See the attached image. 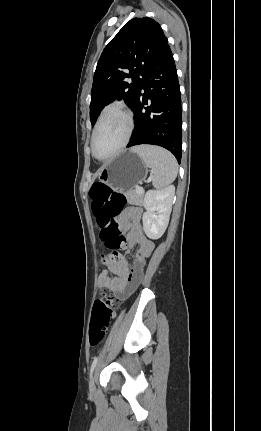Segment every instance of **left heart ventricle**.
Returning <instances> with one entry per match:
<instances>
[{
    "instance_id": "left-heart-ventricle-1",
    "label": "left heart ventricle",
    "mask_w": 261,
    "mask_h": 431,
    "mask_svg": "<svg viewBox=\"0 0 261 431\" xmlns=\"http://www.w3.org/2000/svg\"><path fill=\"white\" fill-rule=\"evenodd\" d=\"M126 121L119 113H110L101 124L95 138V153L106 157L122 143L126 134Z\"/></svg>"
}]
</instances>
